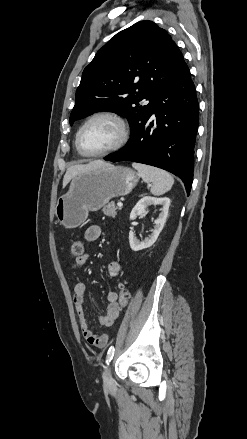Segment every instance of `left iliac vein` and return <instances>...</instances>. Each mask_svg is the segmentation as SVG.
Masks as SVG:
<instances>
[{"label": "left iliac vein", "mask_w": 247, "mask_h": 439, "mask_svg": "<svg viewBox=\"0 0 247 439\" xmlns=\"http://www.w3.org/2000/svg\"><path fill=\"white\" fill-rule=\"evenodd\" d=\"M103 383L104 387L108 389L113 386V378L110 366H107L103 372Z\"/></svg>", "instance_id": "obj_1"}]
</instances>
